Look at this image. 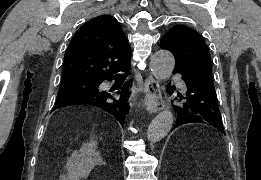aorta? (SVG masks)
<instances>
[{"mask_svg":"<svg viewBox=\"0 0 261 180\" xmlns=\"http://www.w3.org/2000/svg\"><path fill=\"white\" fill-rule=\"evenodd\" d=\"M175 67V59L171 52L159 50L151 58V70L158 80H166L172 74ZM174 117L170 110L160 112L150 123L147 138L151 142L163 139L171 130Z\"/></svg>","mask_w":261,"mask_h":180,"instance_id":"obj_1","label":"aorta"}]
</instances>
